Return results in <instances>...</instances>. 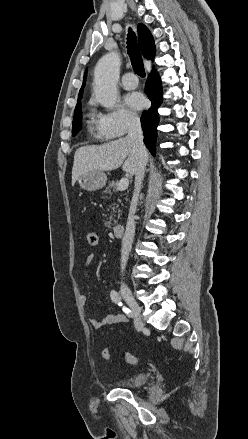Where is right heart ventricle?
Masks as SVG:
<instances>
[{
  "instance_id": "obj_1",
  "label": "right heart ventricle",
  "mask_w": 248,
  "mask_h": 439,
  "mask_svg": "<svg viewBox=\"0 0 248 439\" xmlns=\"http://www.w3.org/2000/svg\"><path fill=\"white\" fill-rule=\"evenodd\" d=\"M88 126L92 131H97L96 129V120H95V114L93 112H90L88 114Z\"/></svg>"
}]
</instances>
